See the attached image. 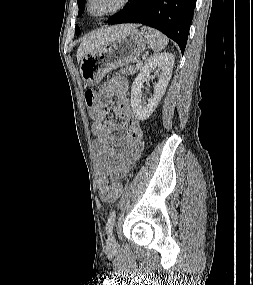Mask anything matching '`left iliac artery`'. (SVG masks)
I'll use <instances>...</instances> for the list:
<instances>
[{"instance_id":"44dca946","label":"left iliac artery","mask_w":253,"mask_h":285,"mask_svg":"<svg viewBox=\"0 0 253 285\" xmlns=\"http://www.w3.org/2000/svg\"><path fill=\"white\" fill-rule=\"evenodd\" d=\"M115 212H112L107 220V224H106V229H107V232L108 233H111L112 232V229H113V225H114V222H115Z\"/></svg>"}]
</instances>
